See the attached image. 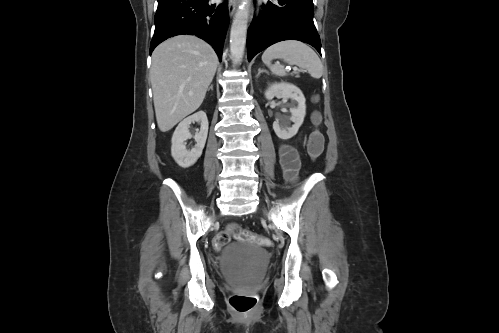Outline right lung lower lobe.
Wrapping results in <instances>:
<instances>
[{
	"mask_svg": "<svg viewBox=\"0 0 499 333\" xmlns=\"http://www.w3.org/2000/svg\"><path fill=\"white\" fill-rule=\"evenodd\" d=\"M228 21L227 3L217 5L209 4V0H158L150 54L167 38L189 34L208 42L221 61Z\"/></svg>",
	"mask_w": 499,
	"mask_h": 333,
	"instance_id": "right-lung-lower-lobe-1",
	"label": "right lung lower lobe"
}]
</instances>
